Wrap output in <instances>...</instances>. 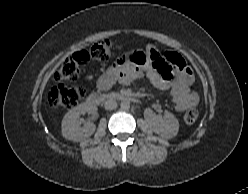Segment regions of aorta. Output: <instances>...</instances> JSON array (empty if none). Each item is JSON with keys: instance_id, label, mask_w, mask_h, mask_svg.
I'll list each match as a JSON object with an SVG mask.
<instances>
[{"instance_id": "762f6f07", "label": "aorta", "mask_w": 248, "mask_h": 194, "mask_svg": "<svg viewBox=\"0 0 248 194\" xmlns=\"http://www.w3.org/2000/svg\"><path fill=\"white\" fill-rule=\"evenodd\" d=\"M122 110H128L130 108V101L123 100L120 104Z\"/></svg>"}]
</instances>
